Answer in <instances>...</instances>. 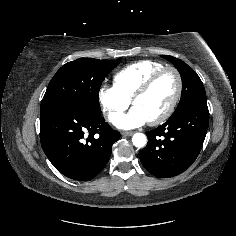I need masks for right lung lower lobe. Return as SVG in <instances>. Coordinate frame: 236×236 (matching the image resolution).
<instances>
[{
	"instance_id": "right-lung-lower-lobe-1",
	"label": "right lung lower lobe",
	"mask_w": 236,
	"mask_h": 236,
	"mask_svg": "<svg viewBox=\"0 0 236 236\" xmlns=\"http://www.w3.org/2000/svg\"><path fill=\"white\" fill-rule=\"evenodd\" d=\"M120 137L101 114L62 103L40 112V141L54 167L68 178L90 181L109 161Z\"/></svg>"
}]
</instances>
